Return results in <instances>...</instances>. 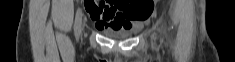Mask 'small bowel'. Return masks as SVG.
<instances>
[{"label": "small bowel", "instance_id": "obj_1", "mask_svg": "<svg viewBox=\"0 0 235 62\" xmlns=\"http://www.w3.org/2000/svg\"><path fill=\"white\" fill-rule=\"evenodd\" d=\"M87 12L98 30H129L141 21L127 14V1H100L88 5Z\"/></svg>", "mask_w": 235, "mask_h": 62}]
</instances>
